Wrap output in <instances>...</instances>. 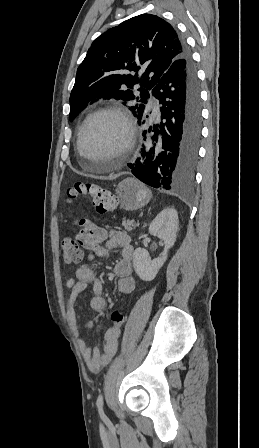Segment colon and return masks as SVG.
<instances>
[{
    "label": "colon",
    "mask_w": 259,
    "mask_h": 448,
    "mask_svg": "<svg viewBox=\"0 0 259 448\" xmlns=\"http://www.w3.org/2000/svg\"><path fill=\"white\" fill-rule=\"evenodd\" d=\"M86 196L92 199L96 210L100 213L113 212L118 209V199L107 188L93 181H78L67 190L68 200ZM80 227L77 235L62 241V258L69 264L79 263L83 259L84 249L95 248L104 238L105 232L93 221L78 220ZM111 327L121 328L125 314L122 309L113 311L110 315Z\"/></svg>",
    "instance_id": "colon-1"
}]
</instances>
